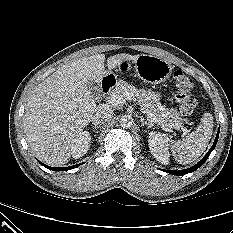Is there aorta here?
<instances>
[{"mask_svg":"<svg viewBox=\"0 0 233 233\" xmlns=\"http://www.w3.org/2000/svg\"><path fill=\"white\" fill-rule=\"evenodd\" d=\"M133 118L130 115H123L119 118L120 126L123 128H130L133 125Z\"/></svg>","mask_w":233,"mask_h":233,"instance_id":"762f6f07","label":"aorta"}]
</instances>
